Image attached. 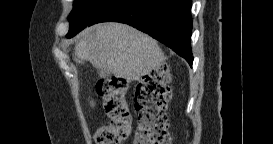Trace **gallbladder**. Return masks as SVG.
I'll use <instances>...</instances> for the list:
<instances>
[{"label": "gallbladder", "mask_w": 273, "mask_h": 144, "mask_svg": "<svg viewBox=\"0 0 273 144\" xmlns=\"http://www.w3.org/2000/svg\"><path fill=\"white\" fill-rule=\"evenodd\" d=\"M97 74H98L99 76L101 75V76H100V79H101V80H107V78H108L107 75H102V74H103L102 71H99Z\"/></svg>", "instance_id": "gallbladder-1"}]
</instances>
